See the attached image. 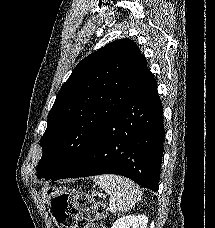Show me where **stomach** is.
<instances>
[{
  "mask_svg": "<svg viewBox=\"0 0 215 228\" xmlns=\"http://www.w3.org/2000/svg\"><path fill=\"white\" fill-rule=\"evenodd\" d=\"M62 194H65V192L60 190V188H53V186H43V188H41V196L50 208L52 200H54L56 196H62Z\"/></svg>",
  "mask_w": 215,
  "mask_h": 228,
  "instance_id": "0dacf381",
  "label": "stomach"
}]
</instances>
